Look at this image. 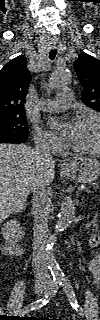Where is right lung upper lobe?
Wrapping results in <instances>:
<instances>
[{
    "mask_svg": "<svg viewBox=\"0 0 100 320\" xmlns=\"http://www.w3.org/2000/svg\"><path fill=\"white\" fill-rule=\"evenodd\" d=\"M27 60L18 56L0 70V119L23 117L31 74Z\"/></svg>",
    "mask_w": 100,
    "mask_h": 320,
    "instance_id": "obj_1",
    "label": "right lung upper lobe"
}]
</instances>
